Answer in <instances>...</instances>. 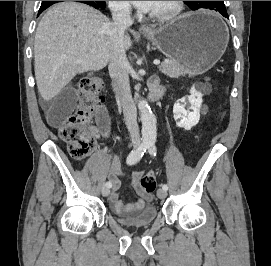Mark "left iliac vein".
Returning <instances> with one entry per match:
<instances>
[{
	"label": "left iliac vein",
	"instance_id": "obj_1",
	"mask_svg": "<svg viewBox=\"0 0 271 266\" xmlns=\"http://www.w3.org/2000/svg\"><path fill=\"white\" fill-rule=\"evenodd\" d=\"M157 196L159 199H164L167 196V191L160 188L157 190Z\"/></svg>",
	"mask_w": 271,
	"mask_h": 266
}]
</instances>
